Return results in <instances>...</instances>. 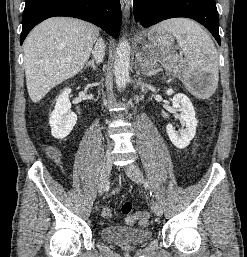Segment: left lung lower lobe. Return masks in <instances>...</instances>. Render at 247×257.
Listing matches in <instances>:
<instances>
[{"mask_svg":"<svg viewBox=\"0 0 247 257\" xmlns=\"http://www.w3.org/2000/svg\"><path fill=\"white\" fill-rule=\"evenodd\" d=\"M133 12L135 20L143 27L175 17L194 19L205 26L221 44L215 0H135Z\"/></svg>","mask_w":247,"mask_h":257,"instance_id":"1","label":"left lung lower lobe"}]
</instances>
